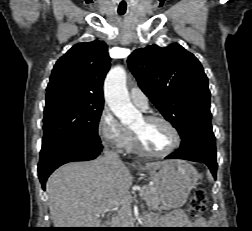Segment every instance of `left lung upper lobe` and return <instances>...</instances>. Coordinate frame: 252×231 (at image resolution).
<instances>
[{
	"label": "left lung upper lobe",
	"mask_w": 252,
	"mask_h": 231,
	"mask_svg": "<svg viewBox=\"0 0 252 231\" xmlns=\"http://www.w3.org/2000/svg\"><path fill=\"white\" fill-rule=\"evenodd\" d=\"M128 65L142 91L178 130L211 129L208 80L198 59L173 43L136 49Z\"/></svg>",
	"instance_id": "obj_1"
}]
</instances>
